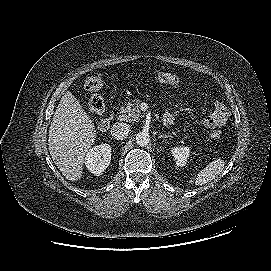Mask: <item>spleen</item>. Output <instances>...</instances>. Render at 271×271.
Listing matches in <instances>:
<instances>
[{
  "instance_id": "3e777b00",
  "label": "spleen",
  "mask_w": 271,
  "mask_h": 271,
  "mask_svg": "<svg viewBox=\"0 0 271 271\" xmlns=\"http://www.w3.org/2000/svg\"><path fill=\"white\" fill-rule=\"evenodd\" d=\"M224 166H225V161L221 158H218L210 162L197 175L190 178L189 184L194 183L197 186H202L210 182L223 171Z\"/></svg>"
}]
</instances>
